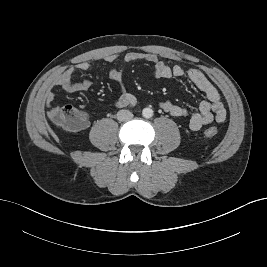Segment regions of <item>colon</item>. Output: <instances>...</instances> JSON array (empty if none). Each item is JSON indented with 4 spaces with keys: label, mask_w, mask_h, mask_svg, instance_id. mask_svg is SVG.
<instances>
[{
    "label": "colon",
    "mask_w": 267,
    "mask_h": 267,
    "mask_svg": "<svg viewBox=\"0 0 267 267\" xmlns=\"http://www.w3.org/2000/svg\"><path fill=\"white\" fill-rule=\"evenodd\" d=\"M53 121L56 125L67 131H77L81 129L84 122L79 111L69 106L59 109ZM216 134L217 130L215 128H208L204 131V135L208 138L215 137Z\"/></svg>",
    "instance_id": "5ec220e1"
}]
</instances>
